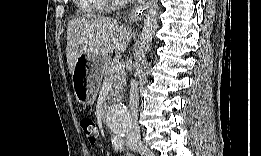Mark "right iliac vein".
Segmentation results:
<instances>
[{
    "instance_id": "right-iliac-vein-1",
    "label": "right iliac vein",
    "mask_w": 261,
    "mask_h": 156,
    "mask_svg": "<svg viewBox=\"0 0 261 156\" xmlns=\"http://www.w3.org/2000/svg\"><path fill=\"white\" fill-rule=\"evenodd\" d=\"M133 148L138 150L142 155L153 156L152 151L141 143L133 144Z\"/></svg>"
}]
</instances>
